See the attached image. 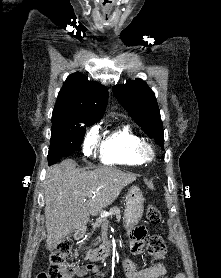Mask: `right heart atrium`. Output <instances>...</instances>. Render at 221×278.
I'll list each match as a JSON object with an SVG mask.
<instances>
[{
	"label": "right heart atrium",
	"instance_id": "obj_1",
	"mask_svg": "<svg viewBox=\"0 0 221 278\" xmlns=\"http://www.w3.org/2000/svg\"><path fill=\"white\" fill-rule=\"evenodd\" d=\"M98 127L90 128L83 141V153L85 156H90L98 144Z\"/></svg>",
	"mask_w": 221,
	"mask_h": 278
}]
</instances>
